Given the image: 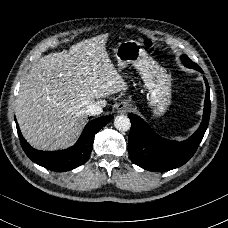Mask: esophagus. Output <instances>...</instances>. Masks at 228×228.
I'll use <instances>...</instances> for the list:
<instances>
[{
    "label": "esophagus",
    "mask_w": 228,
    "mask_h": 228,
    "mask_svg": "<svg viewBox=\"0 0 228 228\" xmlns=\"http://www.w3.org/2000/svg\"><path fill=\"white\" fill-rule=\"evenodd\" d=\"M131 109H132L131 105L125 101L119 103L118 106L116 107V111L118 114H125L129 112Z\"/></svg>",
    "instance_id": "34e87169"
}]
</instances>
